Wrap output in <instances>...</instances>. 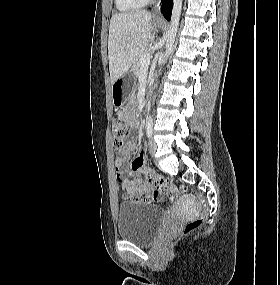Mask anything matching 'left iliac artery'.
<instances>
[{"instance_id":"1","label":"left iliac artery","mask_w":280,"mask_h":285,"mask_svg":"<svg viewBox=\"0 0 280 285\" xmlns=\"http://www.w3.org/2000/svg\"><path fill=\"white\" fill-rule=\"evenodd\" d=\"M152 130H153V120H152V118H150L148 123H147V136L148 137H151Z\"/></svg>"}]
</instances>
